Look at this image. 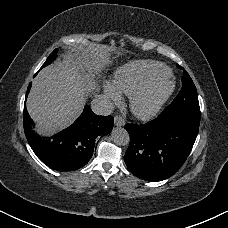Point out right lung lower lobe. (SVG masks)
<instances>
[{"instance_id":"1","label":"right lung lower lobe","mask_w":228,"mask_h":228,"mask_svg":"<svg viewBox=\"0 0 228 228\" xmlns=\"http://www.w3.org/2000/svg\"><path fill=\"white\" fill-rule=\"evenodd\" d=\"M30 87L31 83L26 97ZM23 121L26 138L35 154L45 165L57 171H73L87 164L93 155L96 138L109 134L114 123L112 116H98L87 105L70 127L51 138L35 134L25 105Z\"/></svg>"}]
</instances>
